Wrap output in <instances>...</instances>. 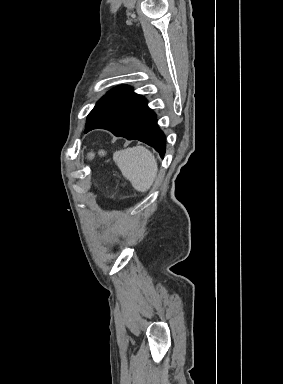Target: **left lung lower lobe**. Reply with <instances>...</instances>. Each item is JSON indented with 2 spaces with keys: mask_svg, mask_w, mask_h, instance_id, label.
Returning <instances> with one entry per match:
<instances>
[{
  "mask_svg": "<svg viewBox=\"0 0 283 384\" xmlns=\"http://www.w3.org/2000/svg\"><path fill=\"white\" fill-rule=\"evenodd\" d=\"M156 115L147 106V100L134 92L128 93L120 102L86 125L85 133L103 128L115 136L128 140L137 139L165 154V135L156 124Z\"/></svg>",
  "mask_w": 283,
  "mask_h": 384,
  "instance_id": "0a47b994",
  "label": "left lung lower lobe"
}]
</instances>
